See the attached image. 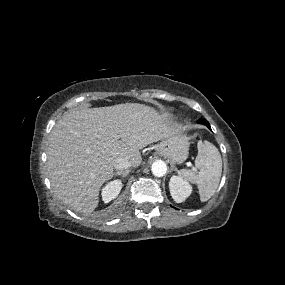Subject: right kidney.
Here are the masks:
<instances>
[{
    "mask_svg": "<svg viewBox=\"0 0 285 285\" xmlns=\"http://www.w3.org/2000/svg\"><path fill=\"white\" fill-rule=\"evenodd\" d=\"M122 188V182L120 180H114L106 184L102 189V200L105 203H109L111 200L115 199L120 193Z\"/></svg>",
    "mask_w": 285,
    "mask_h": 285,
    "instance_id": "1",
    "label": "right kidney"
}]
</instances>
